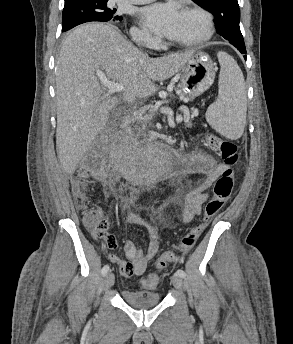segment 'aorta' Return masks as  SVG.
I'll return each instance as SVG.
<instances>
[{
  "instance_id": "1",
  "label": "aorta",
  "mask_w": 293,
  "mask_h": 344,
  "mask_svg": "<svg viewBox=\"0 0 293 344\" xmlns=\"http://www.w3.org/2000/svg\"><path fill=\"white\" fill-rule=\"evenodd\" d=\"M167 155L164 152H161L157 157L152 161V167L162 170L166 164Z\"/></svg>"
}]
</instances>
